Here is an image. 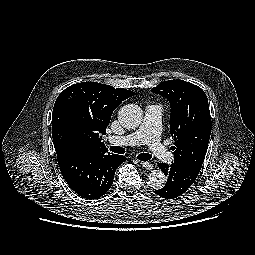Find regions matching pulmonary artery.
<instances>
[{
	"label": "pulmonary artery",
	"mask_w": 255,
	"mask_h": 255,
	"mask_svg": "<svg viewBox=\"0 0 255 255\" xmlns=\"http://www.w3.org/2000/svg\"><path fill=\"white\" fill-rule=\"evenodd\" d=\"M164 110L159 105H149L145 110V116L139 128L125 136H109L112 144L136 146L147 144L151 151L160 160L171 163L174 156L160 140L161 121Z\"/></svg>",
	"instance_id": "obj_1"
}]
</instances>
